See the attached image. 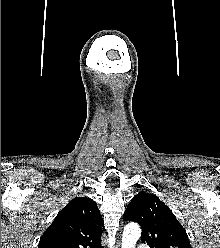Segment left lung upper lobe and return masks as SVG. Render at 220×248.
Segmentation results:
<instances>
[{
	"label": "left lung upper lobe",
	"mask_w": 220,
	"mask_h": 248,
	"mask_svg": "<svg viewBox=\"0 0 220 248\" xmlns=\"http://www.w3.org/2000/svg\"><path fill=\"white\" fill-rule=\"evenodd\" d=\"M123 219L141 226V241L150 248H192L186 230L156 195L138 193L129 203Z\"/></svg>",
	"instance_id": "left-lung-upper-lobe-1"
}]
</instances>
